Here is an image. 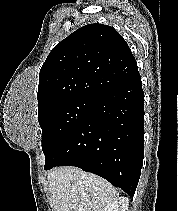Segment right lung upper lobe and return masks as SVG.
<instances>
[{
    "label": "right lung upper lobe",
    "mask_w": 178,
    "mask_h": 211,
    "mask_svg": "<svg viewBox=\"0 0 178 211\" xmlns=\"http://www.w3.org/2000/svg\"><path fill=\"white\" fill-rule=\"evenodd\" d=\"M124 38L111 26L86 25L58 43L39 73V111L73 98L98 99L138 74Z\"/></svg>",
    "instance_id": "cb5924a9"
}]
</instances>
